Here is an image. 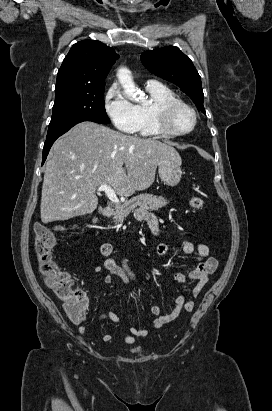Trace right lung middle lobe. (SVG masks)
I'll return each mask as SVG.
<instances>
[{"instance_id": "1", "label": "right lung middle lobe", "mask_w": 272, "mask_h": 411, "mask_svg": "<svg viewBox=\"0 0 272 411\" xmlns=\"http://www.w3.org/2000/svg\"><path fill=\"white\" fill-rule=\"evenodd\" d=\"M104 86L105 84L56 92L47 137L82 121L110 123L104 106Z\"/></svg>"}]
</instances>
